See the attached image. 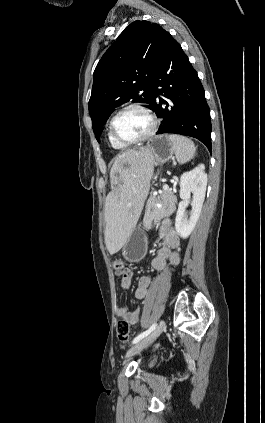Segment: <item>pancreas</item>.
Returning <instances> with one entry per match:
<instances>
[{
  "label": "pancreas",
  "instance_id": "pancreas-1",
  "mask_svg": "<svg viewBox=\"0 0 265 423\" xmlns=\"http://www.w3.org/2000/svg\"><path fill=\"white\" fill-rule=\"evenodd\" d=\"M176 202V196L170 189L163 190L158 196H151L146 204L143 218L144 227L150 228L160 222L162 218L172 215L176 209Z\"/></svg>",
  "mask_w": 265,
  "mask_h": 423
}]
</instances>
